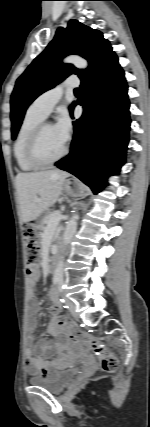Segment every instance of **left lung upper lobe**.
Here are the masks:
<instances>
[{
  "mask_svg": "<svg viewBox=\"0 0 150 427\" xmlns=\"http://www.w3.org/2000/svg\"><path fill=\"white\" fill-rule=\"evenodd\" d=\"M111 50L112 47L101 32L77 20H70L65 29L58 28L54 39L16 81L11 95L12 139L16 138L25 111L34 99L71 74L78 75L80 79L85 78ZM69 54L84 57L89 67L82 70L72 64H63L62 59Z\"/></svg>",
  "mask_w": 150,
  "mask_h": 427,
  "instance_id": "obj_1",
  "label": "left lung upper lobe"
}]
</instances>
